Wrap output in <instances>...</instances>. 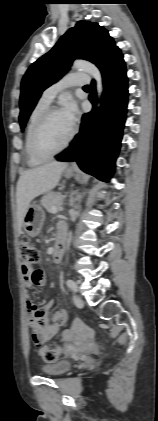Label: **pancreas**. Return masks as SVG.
Listing matches in <instances>:
<instances>
[{
	"mask_svg": "<svg viewBox=\"0 0 158 421\" xmlns=\"http://www.w3.org/2000/svg\"><path fill=\"white\" fill-rule=\"evenodd\" d=\"M64 196L60 193L51 192L46 194L41 199V205L48 211L51 212L54 207H59L63 202Z\"/></svg>",
	"mask_w": 158,
	"mask_h": 421,
	"instance_id": "1",
	"label": "pancreas"
}]
</instances>
